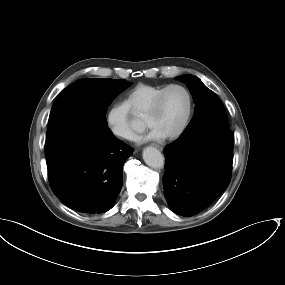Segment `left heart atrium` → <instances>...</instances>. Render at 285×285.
<instances>
[{"label": "left heart atrium", "instance_id": "obj_1", "mask_svg": "<svg viewBox=\"0 0 285 285\" xmlns=\"http://www.w3.org/2000/svg\"><path fill=\"white\" fill-rule=\"evenodd\" d=\"M160 135L155 131V130H151V132L148 135V138H159Z\"/></svg>", "mask_w": 285, "mask_h": 285}]
</instances>
